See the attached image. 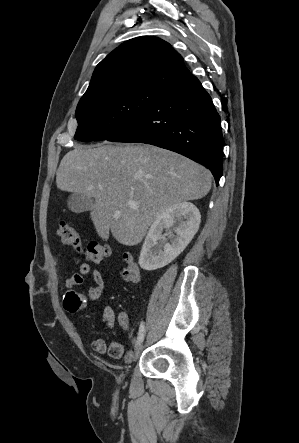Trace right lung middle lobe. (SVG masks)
<instances>
[{
    "label": "right lung middle lobe",
    "mask_w": 299,
    "mask_h": 443,
    "mask_svg": "<svg viewBox=\"0 0 299 443\" xmlns=\"http://www.w3.org/2000/svg\"><path fill=\"white\" fill-rule=\"evenodd\" d=\"M163 93L146 87L119 88L81 99L74 139L88 142L112 137L143 115Z\"/></svg>",
    "instance_id": "1"
}]
</instances>
